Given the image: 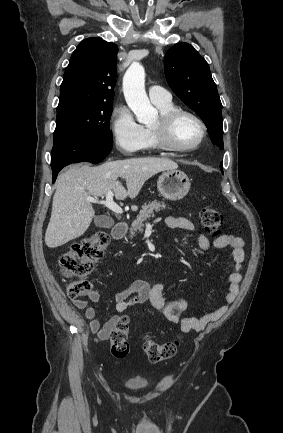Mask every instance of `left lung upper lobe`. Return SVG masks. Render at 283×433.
<instances>
[{"label":"left lung upper lobe","instance_id":"left-lung-upper-lobe-1","mask_svg":"<svg viewBox=\"0 0 283 433\" xmlns=\"http://www.w3.org/2000/svg\"><path fill=\"white\" fill-rule=\"evenodd\" d=\"M164 68L172 90L201 117L212 142L223 149L222 104L205 59L190 44L178 43L167 51Z\"/></svg>","mask_w":283,"mask_h":433}]
</instances>
